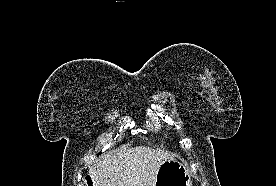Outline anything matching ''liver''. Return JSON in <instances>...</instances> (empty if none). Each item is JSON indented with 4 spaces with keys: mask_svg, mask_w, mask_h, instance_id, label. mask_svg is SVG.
<instances>
[{
    "mask_svg": "<svg viewBox=\"0 0 276 186\" xmlns=\"http://www.w3.org/2000/svg\"><path fill=\"white\" fill-rule=\"evenodd\" d=\"M173 155L164 150L139 146L107 154L89 168L93 186H155L162 163Z\"/></svg>",
    "mask_w": 276,
    "mask_h": 186,
    "instance_id": "1",
    "label": "liver"
}]
</instances>
